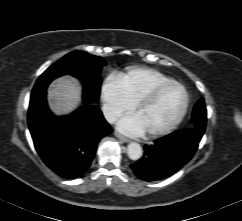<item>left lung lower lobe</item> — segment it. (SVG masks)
<instances>
[{
    "label": "left lung lower lobe",
    "mask_w": 242,
    "mask_h": 221,
    "mask_svg": "<svg viewBox=\"0 0 242 221\" xmlns=\"http://www.w3.org/2000/svg\"><path fill=\"white\" fill-rule=\"evenodd\" d=\"M204 131L195 128L171 133L144 147V155L131 165L135 175L144 181H156L181 169L196 152Z\"/></svg>",
    "instance_id": "obj_1"
}]
</instances>
